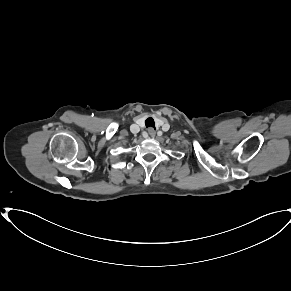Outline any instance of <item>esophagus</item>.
<instances>
[{
	"label": "esophagus",
	"mask_w": 291,
	"mask_h": 291,
	"mask_svg": "<svg viewBox=\"0 0 291 291\" xmlns=\"http://www.w3.org/2000/svg\"><path fill=\"white\" fill-rule=\"evenodd\" d=\"M148 134H149L151 137H154L155 134H156V132H155V130H154L153 128H149V129H148Z\"/></svg>",
	"instance_id": "esophagus-1"
}]
</instances>
